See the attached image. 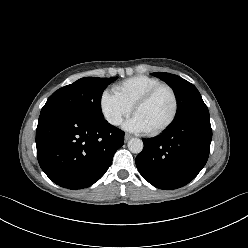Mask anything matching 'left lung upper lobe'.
<instances>
[{
    "label": "left lung upper lobe",
    "instance_id": "1",
    "mask_svg": "<svg viewBox=\"0 0 248 248\" xmlns=\"http://www.w3.org/2000/svg\"><path fill=\"white\" fill-rule=\"evenodd\" d=\"M169 84L175 92L177 98V114L174 120L178 122L189 115L207 109L197 88L185 79L170 73H152Z\"/></svg>",
    "mask_w": 248,
    "mask_h": 248
}]
</instances>
